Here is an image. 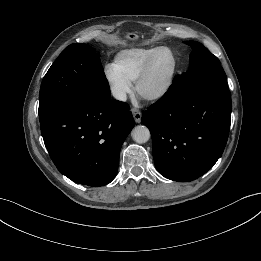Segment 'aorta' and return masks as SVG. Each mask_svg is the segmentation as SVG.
<instances>
[{
	"label": "aorta",
	"instance_id": "obj_1",
	"mask_svg": "<svg viewBox=\"0 0 261 261\" xmlns=\"http://www.w3.org/2000/svg\"><path fill=\"white\" fill-rule=\"evenodd\" d=\"M150 131L144 125L134 127L132 130V138L138 144L146 143L150 139Z\"/></svg>",
	"mask_w": 261,
	"mask_h": 261
}]
</instances>
